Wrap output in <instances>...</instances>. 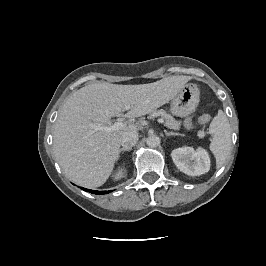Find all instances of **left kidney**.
Wrapping results in <instances>:
<instances>
[{
    "instance_id": "5707ae66",
    "label": "left kidney",
    "mask_w": 266,
    "mask_h": 266,
    "mask_svg": "<svg viewBox=\"0 0 266 266\" xmlns=\"http://www.w3.org/2000/svg\"><path fill=\"white\" fill-rule=\"evenodd\" d=\"M171 157L178 169L187 175L199 176L210 170V157L203 148H177L172 151Z\"/></svg>"
}]
</instances>
